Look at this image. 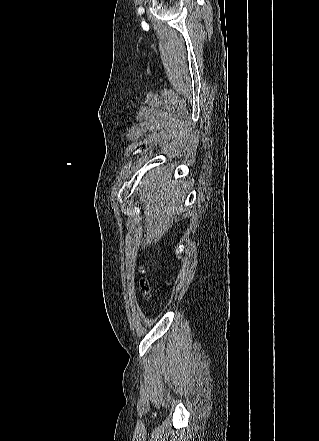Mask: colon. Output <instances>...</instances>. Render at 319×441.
Instances as JSON below:
<instances>
[{"mask_svg":"<svg viewBox=\"0 0 319 441\" xmlns=\"http://www.w3.org/2000/svg\"><path fill=\"white\" fill-rule=\"evenodd\" d=\"M140 288H141L142 292L144 293V295L149 296L150 284L146 279H144V278L140 279Z\"/></svg>","mask_w":319,"mask_h":441,"instance_id":"colon-1","label":"colon"}]
</instances>
